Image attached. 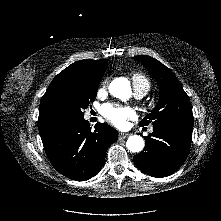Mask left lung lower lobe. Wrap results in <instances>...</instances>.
Wrapping results in <instances>:
<instances>
[{
  "instance_id": "1",
  "label": "left lung lower lobe",
  "mask_w": 221,
  "mask_h": 221,
  "mask_svg": "<svg viewBox=\"0 0 221 221\" xmlns=\"http://www.w3.org/2000/svg\"><path fill=\"white\" fill-rule=\"evenodd\" d=\"M192 128L162 125L146 137L144 150L134 156L144 173L161 178L173 174L186 160L191 146Z\"/></svg>"
}]
</instances>
